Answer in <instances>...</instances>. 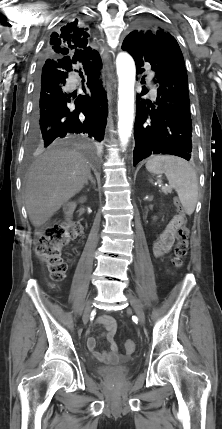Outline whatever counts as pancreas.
Returning <instances> with one entry per match:
<instances>
[{
  "label": "pancreas",
  "instance_id": "1",
  "mask_svg": "<svg viewBox=\"0 0 222 429\" xmlns=\"http://www.w3.org/2000/svg\"><path fill=\"white\" fill-rule=\"evenodd\" d=\"M161 189H162V191H163L164 193H170V192H171V188H170V187H165V186H163Z\"/></svg>",
  "mask_w": 222,
  "mask_h": 429
}]
</instances>
